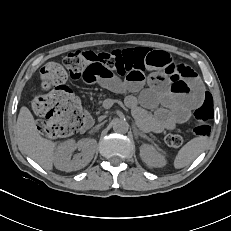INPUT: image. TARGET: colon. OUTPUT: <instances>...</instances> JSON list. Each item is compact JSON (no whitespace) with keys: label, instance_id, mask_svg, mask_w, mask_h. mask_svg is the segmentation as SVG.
<instances>
[{"label":"colon","instance_id":"obj_1","mask_svg":"<svg viewBox=\"0 0 231 231\" xmlns=\"http://www.w3.org/2000/svg\"><path fill=\"white\" fill-rule=\"evenodd\" d=\"M92 64L105 66L122 75L143 71L157 64L169 76L174 91L183 93L191 91L187 75L166 53L156 55L148 48L139 47L106 52L69 53L64 58L63 65L49 62L40 70L43 92L33 99L32 108L37 115L43 117L39 130L45 136L52 139L63 137L82 127V109L65 83L69 77L81 78ZM212 117V99L208 92H204L201 105L194 111V133L197 136L208 135ZM165 142L170 147L179 148L183 144V138L177 133H169L165 137Z\"/></svg>","mask_w":231,"mask_h":231}]
</instances>
